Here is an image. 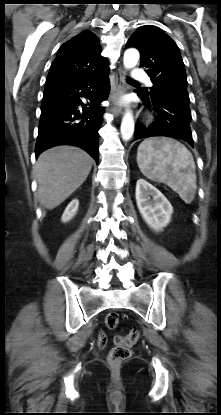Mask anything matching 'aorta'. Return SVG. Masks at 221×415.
<instances>
[{"mask_svg": "<svg viewBox=\"0 0 221 415\" xmlns=\"http://www.w3.org/2000/svg\"><path fill=\"white\" fill-rule=\"evenodd\" d=\"M139 52L135 48H129L124 53L123 63L125 68L130 69L137 65L139 60ZM134 132V118L130 111H127L121 122V136L122 139L129 140Z\"/></svg>", "mask_w": 221, "mask_h": 415, "instance_id": "1", "label": "aorta"}]
</instances>
